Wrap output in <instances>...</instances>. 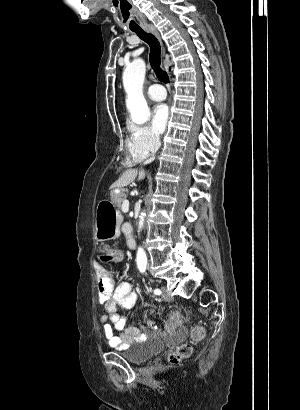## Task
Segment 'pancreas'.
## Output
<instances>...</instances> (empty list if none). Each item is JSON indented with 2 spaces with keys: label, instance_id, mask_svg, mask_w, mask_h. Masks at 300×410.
Returning a JSON list of instances; mask_svg holds the SVG:
<instances>
[{
  "label": "pancreas",
  "instance_id": "1",
  "mask_svg": "<svg viewBox=\"0 0 300 410\" xmlns=\"http://www.w3.org/2000/svg\"><path fill=\"white\" fill-rule=\"evenodd\" d=\"M114 193V195H113V198H112V200L115 202V204H116V206L118 207V208H121L122 207V203H123V201L125 200V194H124V192H123V190L120 192V193H115V192H113Z\"/></svg>",
  "mask_w": 300,
  "mask_h": 410
}]
</instances>
